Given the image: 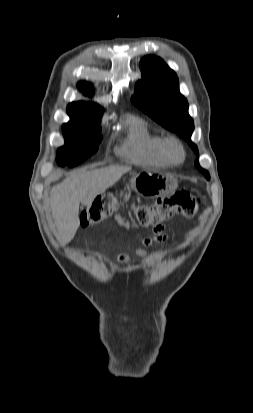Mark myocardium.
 Wrapping results in <instances>:
<instances>
[{
	"label": "myocardium",
	"instance_id": "myocardium-1",
	"mask_svg": "<svg viewBox=\"0 0 253 413\" xmlns=\"http://www.w3.org/2000/svg\"><path fill=\"white\" fill-rule=\"evenodd\" d=\"M166 146L169 155L175 162H181L185 158V150L181 144V142L174 137H169L166 140Z\"/></svg>",
	"mask_w": 253,
	"mask_h": 413
}]
</instances>
